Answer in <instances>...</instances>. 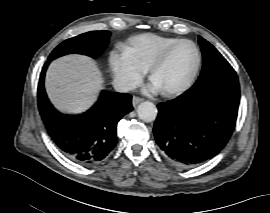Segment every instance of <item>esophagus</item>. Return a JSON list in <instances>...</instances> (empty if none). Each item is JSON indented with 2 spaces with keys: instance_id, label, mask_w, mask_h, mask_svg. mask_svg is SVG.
I'll list each match as a JSON object with an SVG mask.
<instances>
[{
  "instance_id": "1",
  "label": "esophagus",
  "mask_w": 270,
  "mask_h": 213,
  "mask_svg": "<svg viewBox=\"0 0 270 213\" xmlns=\"http://www.w3.org/2000/svg\"><path fill=\"white\" fill-rule=\"evenodd\" d=\"M143 100H144L143 98L134 96V97L132 98L133 106L136 107V106H137L139 103H141Z\"/></svg>"
}]
</instances>
